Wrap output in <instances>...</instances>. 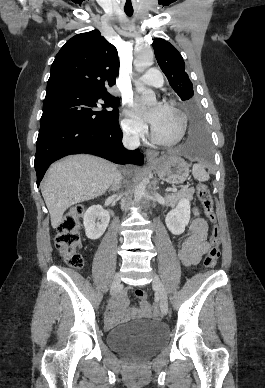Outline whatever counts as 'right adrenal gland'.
Instances as JSON below:
<instances>
[{"instance_id": "obj_1", "label": "right adrenal gland", "mask_w": 265, "mask_h": 388, "mask_svg": "<svg viewBox=\"0 0 265 388\" xmlns=\"http://www.w3.org/2000/svg\"><path fill=\"white\" fill-rule=\"evenodd\" d=\"M120 186H116V184H114V186H111V188H109V192H116V190H119Z\"/></svg>"}]
</instances>
